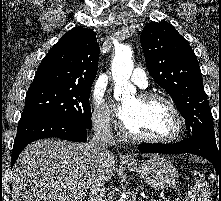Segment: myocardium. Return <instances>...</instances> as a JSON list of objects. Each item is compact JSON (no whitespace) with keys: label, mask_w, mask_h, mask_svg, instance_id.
<instances>
[{"label":"myocardium","mask_w":221,"mask_h":201,"mask_svg":"<svg viewBox=\"0 0 221 201\" xmlns=\"http://www.w3.org/2000/svg\"><path fill=\"white\" fill-rule=\"evenodd\" d=\"M136 98L140 101H151V100H159L162 101L171 111L172 115L174 116L175 122H176V128L172 135L167 137H150V136H144L136 134L132 131H130L124 124L123 121L120 122V129L121 131L128 136L131 139L142 141V142H149V143H170L175 140H177L183 133V119L181 117V114L176 107L175 103L168 98L167 96L156 93V92H144L140 93L136 96Z\"/></svg>","instance_id":"f54148a6"}]
</instances>
